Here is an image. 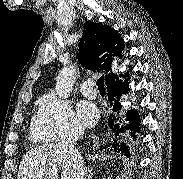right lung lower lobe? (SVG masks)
I'll use <instances>...</instances> for the list:
<instances>
[{
  "mask_svg": "<svg viewBox=\"0 0 183 179\" xmlns=\"http://www.w3.org/2000/svg\"><path fill=\"white\" fill-rule=\"evenodd\" d=\"M107 85V91H108V98L111 101V104L114 102L113 110L118 111L122 106L118 102V97L126 93L128 91V82L125 81V84L118 80V78L111 80L110 82L106 83ZM114 119L115 116L110 117V120L108 121L109 127L113 130V132H116V134H119L120 132H124V127L122 126L121 129H119V125H114ZM140 117L138 115V112L134 109L128 112V117L126 120H129L131 124H127V128L132 130V137L135 139V132H139V123H140ZM119 144H116V141L112 144V148L117 150V147ZM120 150L124 152L125 154L129 153L128 146L126 144L122 143Z\"/></svg>",
  "mask_w": 183,
  "mask_h": 179,
  "instance_id": "1",
  "label": "right lung lower lobe"
}]
</instances>
